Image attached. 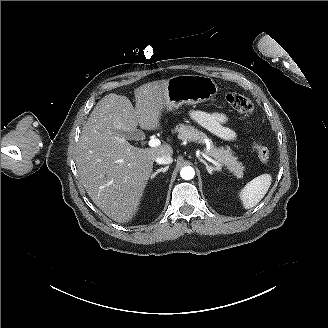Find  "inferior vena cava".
<instances>
[{
	"label": "inferior vena cava",
	"instance_id": "inferior-vena-cava-1",
	"mask_svg": "<svg viewBox=\"0 0 328 328\" xmlns=\"http://www.w3.org/2000/svg\"><path fill=\"white\" fill-rule=\"evenodd\" d=\"M158 164H171L173 159L170 155H161L155 159Z\"/></svg>",
	"mask_w": 328,
	"mask_h": 328
}]
</instances>
